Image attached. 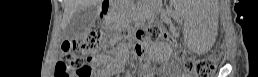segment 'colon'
I'll return each instance as SVG.
<instances>
[{"mask_svg": "<svg viewBox=\"0 0 258 77\" xmlns=\"http://www.w3.org/2000/svg\"><path fill=\"white\" fill-rule=\"evenodd\" d=\"M136 45L144 50L152 43L169 41L172 38L158 25L146 27ZM100 29H93L83 37L69 43L55 66V77H95L99 74L100 51L108 47L111 54L123 51L120 40L110 43ZM177 58L184 59V53L177 51ZM185 66L195 77H209L215 72L216 63L211 58L185 60Z\"/></svg>", "mask_w": 258, "mask_h": 77, "instance_id": "5ec220e1", "label": "colon"}]
</instances>
